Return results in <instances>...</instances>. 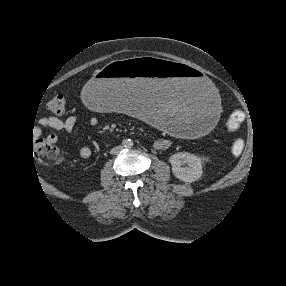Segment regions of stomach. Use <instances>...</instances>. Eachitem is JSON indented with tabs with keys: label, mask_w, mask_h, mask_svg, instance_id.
I'll return each mask as SVG.
<instances>
[{
	"label": "stomach",
	"mask_w": 286,
	"mask_h": 286,
	"mask_svg": "<svg viewBox=\"0 0 286 286\" xmlns=\"http://www.w3.org/2000/svg\"><path fill=\"white\" fill-rule=\"evenodd\" d=\"M83 97L96 113H133L178 138L207 133L219 116L212 81L187 63L122 56L87 79Z\"/></svg>",
	"instance_id": "stomach-1"
}]
</instances>
